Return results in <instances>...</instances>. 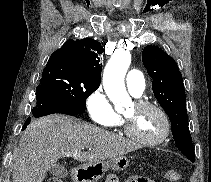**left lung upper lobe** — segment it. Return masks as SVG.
<instances>
[{
	"instance_id": "obj_1",
	"label": "left lung upper lobe",
	"mask_w": 211,
	"mask_h": 182,
	"mask_svg": "<svg viewBox=\"0 0 211 182\" xmlns=\"http://www.w3.org/2000/svg\"><path fill=\"white\" fill-rule=\"evenodd\" d=\"M142 61L153 79L154 95L167 113L177 148L190 160H195L192 138L188 128L186 95L182 75L172 57L157 46L143 49Z\"/></svg>"
}]
</instances>
